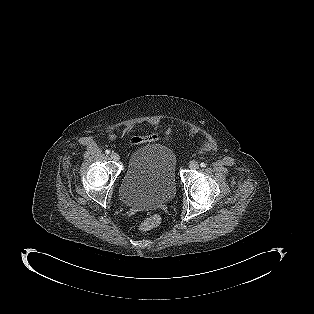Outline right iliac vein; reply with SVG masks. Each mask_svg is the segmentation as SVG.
I'll list each match as a JSON object with an SVG mask.
<instances>
[{
	"instance_id": "right-iliac-vein-1",
	"label": "right iliac vein",
	"mask_w": 314,
	"mask_h": 314,
	"mask_svg": "<svg viewBox=\"0 0 314 314\" xmlns=\"http://www.w3.org/2000/svg\"><path fill=\"white\" fill-rule=\"evenodd\" d=\"M110 157H111V159L114 160V161H119V159H120V156H119L117 153H115V152H112V153L110 154Z\"/></svg>"
}]
</instances>
